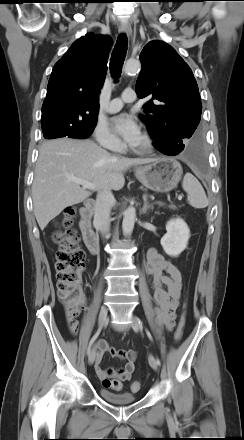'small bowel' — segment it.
<instances>
[{
	"label": "small bowel",
	"instance_id": "obj_1",
	"mask_svg": "<svg viewBox=\"0 0 244 440\" xmlns=\"http://www.w3.org/2000/svg\"><path fill=\"white\" fill-rule=\"evenodd\" d=\"M147 273L152 278V290L154 298L153 312L156 315L160 329L172 330L175 326L177 309L182 289V277L178 267L166 259L156 249L151 248L147 253ZM70 331L75 334L78 322L67 318ZM98 351L95 355V370L98 378L103 381L106 378H116L122 382L129 381L135 369L136 352L133 350L115 349L106 340L97 343ZM108 353L112 357L125 361L120 367L101 366L104 355Z\"/></svg>",
	"mask_w": 244,
	"mask_h": 440
}]
</instances>
